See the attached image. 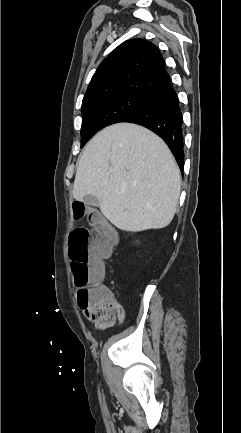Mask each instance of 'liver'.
<instances>
[{
    "label": "liver",
    "instance_id": "liver-1",
    "mask_svg": "<svg viewBox=\"0 0 241 433\" xmlns=\"http://www.w3.org/2000/svg\"><path fill=\"white\" fill-rule=\"evenodd\" d=\"M180 170L164 141L150 130L118 123L97 133L77 164L73 198L93 195L117 228L160 229L173 220Z\"/></svg>",
    "mask_w": 241,
    "mask_h": 433
}]
</instances>
